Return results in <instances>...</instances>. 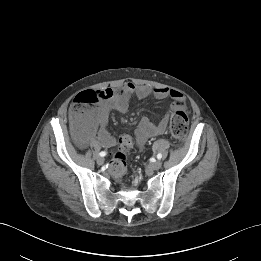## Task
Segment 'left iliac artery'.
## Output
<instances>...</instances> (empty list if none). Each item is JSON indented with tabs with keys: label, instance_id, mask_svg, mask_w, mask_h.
<instances>
[{
	"label": "left iliac artery",
	"instance_id": "obj_1",
	"mask_svg": "<svg viewBox=\"0 0 261 261\" xmlns=\"http://www.w3.org/2000/svg\"><path fill=\"white\" fill-rule=\"evenodd\" d=\"M157 158H158V159H161V158H162V154H161V153H158V154H157Z\"/></svg>",
	"mask_w": 261,
	"mask_h": 261
}]
</instances>
